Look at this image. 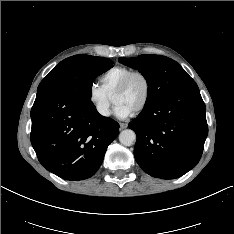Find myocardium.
Segmentation results:
<instances>
[{
    "mask_svg": "<svg viewBox=\"0 0 234 234\" xmlns=\"http://www.w3.org/2000/svg\"><path fill=\"white\" fill-rule=\"evenodd\" d=\"M135 77H141L144 82H145V86H146V92H145V97L142 101V103L140 104V106L133 112L134 115L140 114L141 112H143L146 107L148 106L150 99H151V94H152V84L151 81L149 79V77L142 71H133L132 73H130L122 82L121 84L116 88V90L113 93V101L115 99L116 96L124 93L128 87L130 86L132 80Z\"/></svg>",
    "mask_w": 234,
    "mask_h": 234,
    "instance_id": "myocardium-1",
    "label": "myocardium"
}]
</instances>
